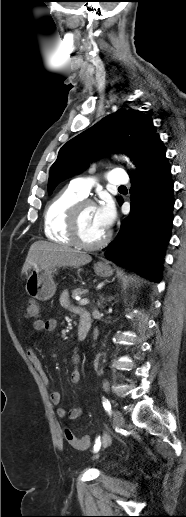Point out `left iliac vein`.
I'll use <instances>...</instances> for the list:
<instances>
[{
	"mask_svg": "<svg viewBox=\"0 0 186 517\" xmlns=\"http://www.w3.org/2000/svg\"><path fill=\"white\" fill-rule=\"evenodd\" d=\"M113 422H114V425H115L116 427H118V428H120V427H122V426H123V424H124V418H123V415H122V413H121L120 411L115 410V411L113 412ZM103 443H104L105 445H107V444H108V438H104V439H103Z\"/></svg>",
	"mask_w": 186,
	"mask_h": 517,
	"instance_id": "left-iliac-vein-1",
	"label": "left iliac vein"
}]
</instances>
